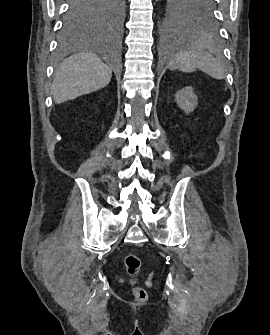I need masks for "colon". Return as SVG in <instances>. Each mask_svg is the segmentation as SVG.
Masks as SVG:
<instances>
[{
    "label": "colon",
    "mask_w": 270,
    "mask_h": 335,
    "mask_svg": "<svg viewBox=\"0 0 270 335\" xmlns=\"http://www.w3.org/2000/svg\"><path fill=\"white\" fill-rule=\"evenodd\" d=\"M125 272L129 278L133 296L138 300H145L148 296L147 290L140 285L142 260L134 253H128L123 257Z\"/></svg>",
    "instance_id": "5ec220e1"
}]
</instances>
